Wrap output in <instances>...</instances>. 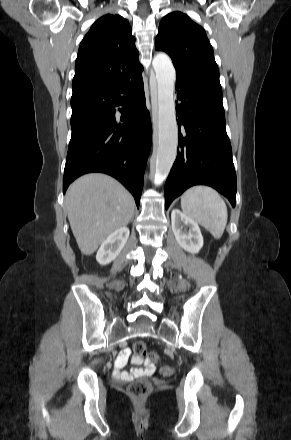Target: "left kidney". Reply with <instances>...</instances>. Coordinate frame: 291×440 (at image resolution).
Wrapping results in <instances>:
<instances>
[{"label": "left kidney", "mask_w": 291, "mask_h": 440, "mask_svg": "<svg viewBox=\"0 0 291 440\" xmlns=\"http://www.w3.org/2000/svg\"><path fill=\"white\" fill-rule=\"evenodd\" d=\"M171 224L175 239L181 248L192 254L198 253L201 250L204 240L196 221L182 213L179 209H173Z\"/></svg>", "instance_id": "obj_1"}]
</instances>
